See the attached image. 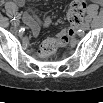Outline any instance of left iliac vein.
Masks as SVG:
<instances>
[{
    "mask_svg": "<svg viewBox=\"0 0 103 103\" xmlns=\"http://www.w3.org/2000/svg\"><path fill=\"white\" fill-rule=\"evenodd\" d=\"M89 27H90L89 23L85 22V23L82 24L81 29L82 30H88Z\"/></svg>",
    "mask_w": 103,
    "mask_h": 103,
    "instance_id": "1",
    "label": "left iliac vein"
}]
</instances>
